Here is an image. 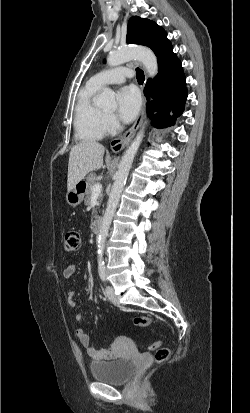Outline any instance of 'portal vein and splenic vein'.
I'll return each instance as SVG.
<instances>
[{
	"label": "portal vein and splenic vein",
	"instance_id": "18ae733b",
	"mask_svg": "<svg viewBox=\"0 0 250 413\" xmlns=\"http://www.w3.org/2000/svg\"><path fill=\"white\" fill-rule=\"evenodd\" d=\"M102 191V184L97 183L93 186L92 194H100Z\"/></svg>",
	"mask_w": 250,
	"mask_h": 413
}]
</instances>
